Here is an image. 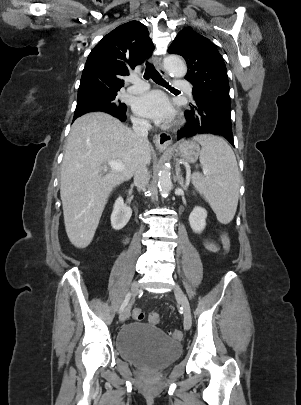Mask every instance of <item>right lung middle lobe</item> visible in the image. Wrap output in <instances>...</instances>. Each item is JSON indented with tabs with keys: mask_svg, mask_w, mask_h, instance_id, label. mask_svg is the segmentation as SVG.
Segmentation results:
<instances>
[{
	"mask_svg": "<svg viewBox=\"0 0 301 405\" xmlns=\"http://www.w3.org/2000/svg\"><path fill=\"white\" fill-rule=\"evenodd\" d=\"M119 89H88L78 91L74 117L93 111L126 112V105L116 98Z\"/></svg>",
	"mask_w": 301,
	"mask_h": 405,
	"instance_id": "obj_1",
	"label": "right lung middle lobe"
}]
</instances>
